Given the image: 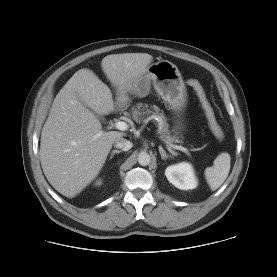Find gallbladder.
I'll return each instance as SVG.
<instances>
[{
	"label": "gallbladder",
	"mask_w": 277,
	"mask_h": 277,
	"mask_svg": "<svg viewBox=\"0 0 277 277\" xmlns=\"http://www.w3.org/2000/svg\"><path fill=\"white\" fill-rule=\"evenodd\" d=\"M98 116V115H97ZM98 118L100 119V120H103V118L102 117H100V116H98Z\"/></svg>",
	"instance_id": "obj_1"
}]
</instances>
